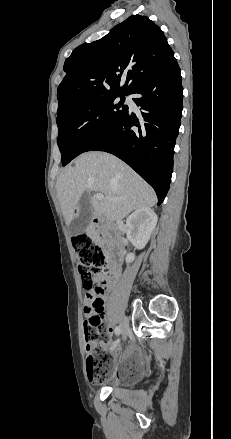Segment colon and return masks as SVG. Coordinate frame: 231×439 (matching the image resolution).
<instances>
[{
  "label": "colon",
  "mask_w": 231,
  "mask_h": 439,
  "mask_svg": "<svg viewBox=\"0 0 231 439\" xmlns=\"http://www.w3.org/2000/svg\"><path fill=\"white\" fill-rule=\"evenodd\" d=\"M72 245L77 255L83 289L87 292H104L109 277L106 252L94 244L88 234L74 235ZM93 307L100 311L103 306L100 301L96 300L93 302ZM84 330L88 346L86 364L89 376L95 382H104L110 375L113 356L107 350L111 351L112 345L105 340L106 334L96 320L90 321ZM98 346L105 348L100 352H93Z\"/></svg>",
  "instance_id": "1"
}]
</instances>
